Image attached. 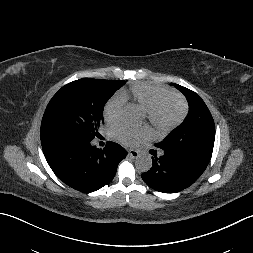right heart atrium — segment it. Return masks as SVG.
I'll return each mask as SVG.
<instances>
[{
	"instance_id": "d8ad5b80",
	"label": "right heart atrium",
	"mask_w": 253,
	"mask_h": 253,
	"mask_svg": "<svg viewBox=\"0 0 253 253\" xmlns=\"http://www.w3.org/2000/svg\"><path fill=\"white\" fill-rule=\"evenodd\" d=\"M126 100L120 94L111 97L104 106V117L109 124H117L121 121Z\"/></svg>"
}]
</instances>
